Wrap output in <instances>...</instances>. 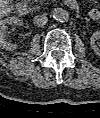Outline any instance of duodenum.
Returning <instances> with one entry per match:
<instances>
[{
    "instance_id": "410a0bca",
    "label": "duodenum",
    "mask_w": 100,
    "mask_h": 118,
    "mask_svg": "<svg viewBox=\"0 0 100 118\" xmlns=\"http://www.w3.org/2000/svg\"><path fill=\"white\" fill-rule=\"evenodd\" d=\"M66 5L71 8V9H77L78 8V3L76 0H66ZM28 11V5L25 0H18L15 6V12L19 16H23L27 13Z\"/></svg>"
}]
</instances>
